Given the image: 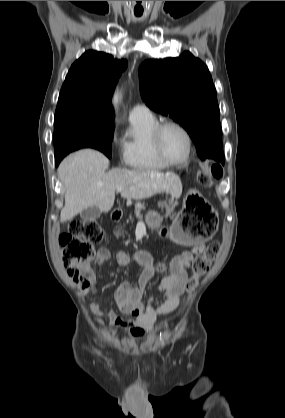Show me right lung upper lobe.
<instances>
[{
    "instance_id": "obj_1",
    "label": "right lung upper lobe",
    "mask_w": 285,
    "mask_h": 418,
    "mask_svg": "<svg viewBox=\"0 0 285 418\" xmlns=\"http://www.w3.org/2000/svg\"><path fill=\"white\" fill-rule=\"evenodd\" d=\"M127 60L110 54L87 51L71 66L60 91L57 108L77 107L114 117L111 95Z\"/></svg>"
}]
</instances>
